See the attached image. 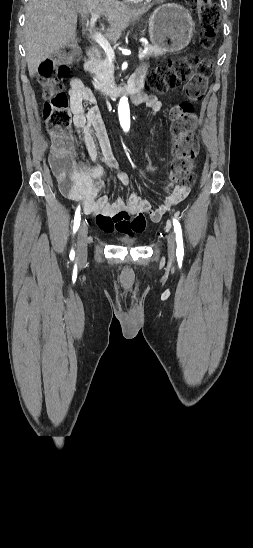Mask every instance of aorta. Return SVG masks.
<instances>
[{
	"label": "aorta",
	"mask_w": 253,
	"mask_h": 548,
	"mask_svg": "<svg viewBox=\"0 0 253 548\" xmlns=\"http://www.w3.org/2000/svg\"><path fill=\"white\" fill-rule=\"evenodd\" d=\"M119 117L121 124L125 130L128 129V124L130 120L129 105L128 99L126 96L121 97L119 102Z\"/></svg>",
	"instance_id": "aorta-1"
}]
</instances>
